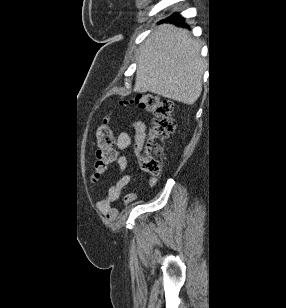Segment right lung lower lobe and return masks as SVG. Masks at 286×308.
I'll use <instances>...</instances> for the list:
<instances>
[{
  "label": "right lung lower lobe",
  "instance_id": "obj_1",
  "mask_svg": "<svg viewBox=\"0 0 286 308\" xmlns=\"http://www.w3.org/2000/svg\"><path fill=\"white\" fill-rule=\"evenodd\" d=\"M163 22H172L174 24L186 26L184 24L183 18L181 16H179L178 14H174V15L170 16L169 18L163 20Z\"/></svg>",
  "mask_w": 286,
  "mask_h": 308
}]
</instances>
